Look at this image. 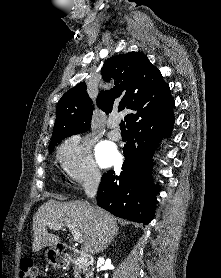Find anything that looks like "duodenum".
Here are the masks:
<instances>
[{"instance_id": "1", "label": "duodenum", "mask_w": 221, "mask_h": 278, "mask_svg": "<svg viewBox=\"0 0 221 278\" xmlns=\"http://www.w3.org/2000/svg\"><path fill=\"white\" fill-rule=\"evenodd\" d=\"M59 257H61L65 264H79L86 267L90 264L91 260L80 249L60 244L57 246Z\"/></svg>"}]
</instances>
